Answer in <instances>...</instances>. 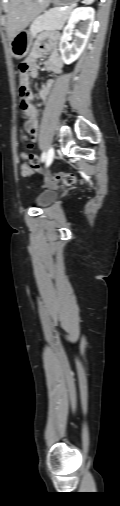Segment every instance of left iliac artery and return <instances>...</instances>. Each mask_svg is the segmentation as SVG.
<instances>
[{
    "mask_svg": "<svg viewBox=\"0 0 120 506\" xmlns=\"http://www.w3.org/2000/svg\"><path fill=\"white\" fill-rule=\"evenodd\" d=\"M47 154L46 152H43L41 155V161L44 162L46 160Z\"/></svg>",
    "mask_w": 120,
    "mask_h": 506,
    "instance_id": "44dca946",
    "label": "left iliac artery"
}]
</instances>
